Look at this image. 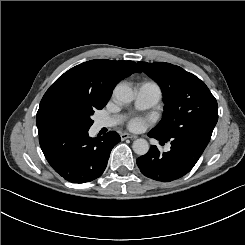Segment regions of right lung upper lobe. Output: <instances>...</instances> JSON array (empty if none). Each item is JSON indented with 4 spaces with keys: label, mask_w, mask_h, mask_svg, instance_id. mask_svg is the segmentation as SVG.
I'll return each mask as SVG.
<instances>
[{
    "label": "right lung upper lobe",
    "mask_w": 245,
    "mask_h": 245,
    "mask_svg": "<svg viewBox=\"0 0 245 245\" xmlns=\"http://www.w3.org/2000/svg\"><path fill=\"white\" fill-rule=\"evenodd\" d=\"M141 69L133 61L96 59L77 65L61 75L44 94L36 115L38 133L56 130L54 106L62 99H89L106 105L116 84Z\"/></svg>",
    "instance_id": "right-lung-upper-lobe-1"
}]
</instances>
